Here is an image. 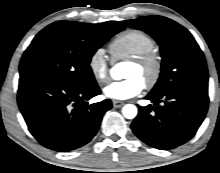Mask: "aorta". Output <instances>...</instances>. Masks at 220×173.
Here are the masks:
<instances>
[{
    "label": "aorta",
    "mask_w": 220,
    "mask_h": 173,
    "mask_svg": "<svg viewBox=\"0 0 220 173\" xmlns=\"http://www.w3.org/2000/svg\"><path fill=\"white\" fill-rule=\"evenodd\" d=\"M111 77L115 80H120L123 77V70L121 65L118 64L111 68L110 70ZM137 108L133 104H127L122 108V114L127 119H133L137 116Z\"/></svg>",
    "instance_id": "obj_1"
}]
</instances>
